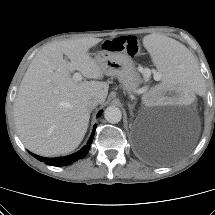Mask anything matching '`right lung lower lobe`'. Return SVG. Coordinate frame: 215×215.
I'll return each instance as SVG.
<instances>
[{
  "mask_svg": "<svg viewBox=\"0 0 215 215\" xmlns=\"http://www.w3.org/2000/svg\"><path fill=\"white\" fill-rule=\"evenodd\" d=\"M102 114V111H100L98 113V117ZM95 129H96V125H94V129L92 131V134L88 140V143L86 146H84L81 150H79L78 152L65 156V157H57V158H45V157H41L38 155H35L33 153H30L31 155H33L35 158H37L39 161L45 162L47 165H51V166H66V165H70L73 162L77 161L78 159H81L83 157L86 156V154L89 151L90 148V144L93 141V137H94V133H95Z\"/></svg>",
  "mask_w": 215,
  "mask_h": 215,
  "instance_id": "obj_1",
  "label": "right lung lower lobe"
}]
</instances>
